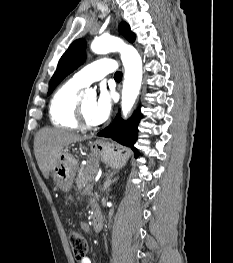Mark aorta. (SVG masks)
<instances>
[{"label":"aorta","instance_id":"aorta-1","mask_svg":"<svg viewBox=\"0 0 233 263\" xmlns=\"http://www.w3.org/2000/svg\"><path fill=\"white\" fill-rule=\"evenodd\" d=\"M91 50L96 54L120 52L125 68L121 107L124 116H126L132 109L141 87L142 61L138 51L114 36L95 38L91 44ZM93 94L94 91L92 89H87L84 99Z\"/></svg>","mask_w":233,"mask_h":263}]
</instances>
